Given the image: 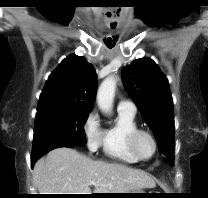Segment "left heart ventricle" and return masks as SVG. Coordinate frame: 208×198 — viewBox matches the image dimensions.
<instances>
[{"mask_svg":"<svg viewBox=\"0 0 208 198\" xmlns=\"http://www.w3.org/2000/svg\"><path fill=\"white\" fill-rule=\"evenodd\" d=\"M137 146L139 152L145 157H149L154 149L152 140L146 135H142L139 137Z\"/></svg>","mask_w":208,"mask_h":198,"instance_id":"left-heart-ventricle-1","label":"left heart ventricle"}]
</instances>
